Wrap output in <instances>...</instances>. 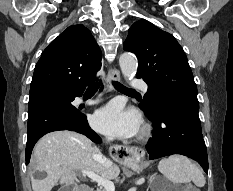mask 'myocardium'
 I'll use <instances>...</instances> for the list:
<instances>
[{
	"label": "myocardium",
	"instance_id": "1",
	"mask_svg": "<svg viewBox=\"0 0 233 191\" xmlns=\"http://www.w3.org/2000/svg\"><path fill=\"white\" fill-rule=\"evenodd\" d=\"M150 135V127L148 125H145L140 133L139 139L140 140H146Z\"/></svg>",
	"mask_w": 233,
	"mask_h": 191
}]
</instances>
